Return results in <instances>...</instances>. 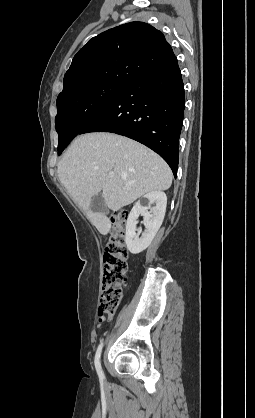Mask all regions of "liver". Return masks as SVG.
Here are the masks:
<instances>
[{"instance_id":"obj_1","label":"liver","mask_w":255,"mask_h":418,"mask_svg":"<svg viewBox=\"0 0 255 418\" xmlns=\"http://www.w3.org/2000/svg\"><path fill=\"white\" fill-rule=\"evenodd\" d=\"M57 174L103 235L110 231V220L91 210L95 195L102 191L107 207L118 211L146 193L169 189L173 177L168 164L149 148L105 132L78 136L59 162Z\"/></svg>"}]
</instances>
